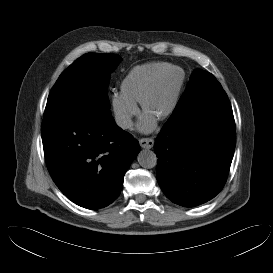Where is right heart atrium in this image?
I'll use <instances>...</instances> for the list:
<instances>
[{
    "label": "right heart atrium",
    "instance_id": "obj_1",
    "mask_svg": "<svg viewBox=\"0 0 273 273\" xmlns=\"http://www.w3.org/2000/svg\"><path fill=\"white\" fill-rule=\"evenodd\" d=\"M111 106L116 122L122 127L130 126L132 117L137 114V107L120 94L112 96Z\"/></svg>",
    "mask_w": 273,
    "mask_h": 273
}]
</instances>
